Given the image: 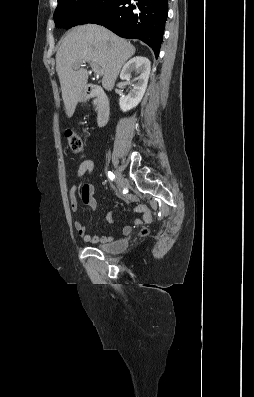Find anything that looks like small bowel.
Wrapping results in <instances>:
<instances>
[{
    "instance_id": "small-bowel-1",
    "label": "small bowel",
    "mask_w": 254,
    "mask_h": 397,
    "mask_svg": "<svg viewBox=\"0 0 254 397\" xmlns=\"http://www.w3.org/2000/svg\"><path fill=\"white\" fill-rule=\"evenodd\" d=\"M94 169V162L88 159L85 155L81 156V161L77 169V177L79 179L83 178L84 176H90ZM78 191L77 186H73L70 191V198H71V207L73 211L77 210L78 204L76 200V193ZM94 194V186L87 182L83 185L81 190V199L84 204L88 205L92 210H96V200L93 196ZM125 199L128 202H133L134 198L132 196H126ZM134 210L139 213H143V219L136 218L133 221L132 226L126 225L123 227L122 232L123 234L127 235L131 232L132 227L139 226L145 222L151 221V212L145 205H137ZM106 220L109 223H114L112 214L109 212L106 214ZM74 227L78 235L87 243L97 244V243H110L114 240L112 236L107 235H91L87 233L86 226L80 222L76 221L74 223Z\"/></svg>"
}]
</instances>
